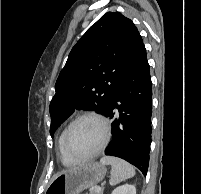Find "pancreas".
Returning <instances> with one entry per match:
<instances>
[{
    "instance_id": "obj_1",
    "label": "pancreas",
    "mask_w": 201,
    "mask_h": 194,
    "mask_svg": "<svg viewBox=\"0 0 201 194\" xmlns=\"http://www.w3.org/2000/svg\"><path fill=\"white\" fill-rule=\"evenodd\" d=\"M89 194H103V189H101L99 192H95V190L91 191Z\"/></svg>"
}]
</instances>
